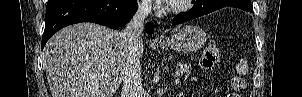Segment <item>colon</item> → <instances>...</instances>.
<instances>
[{"label":"colon","instance_id":"colon-1","mask_svg":"<svg viewBox=\"0 0 302 97\" xmlns=\"http://www.w3.org/2000/svg\"><path fill=\"white\" fill-rule=\"evenodd\" d=\"M219 59V49L216 45H208L202 52L200 64L205 70L212 69ZM246 88V82L242 77H233L231 80L232 94L230 97H240V93Z\"/></svg>","mask_w":302,"mask_h":97}]
</instances>
